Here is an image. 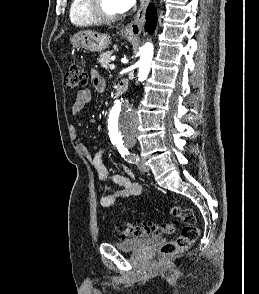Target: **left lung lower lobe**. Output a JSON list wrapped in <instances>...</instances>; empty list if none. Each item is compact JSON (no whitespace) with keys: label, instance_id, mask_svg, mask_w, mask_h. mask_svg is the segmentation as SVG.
<instances>
[{"label":"left lung lower lobe","instance_id":"0a47b994","mask_svg":"<svg viewBox=\"0 0 259 294\" xmlns=\"http://www.w3.org/2000/svg\"><path fill=\"white\" fill-rule=\"evenodd\" d=\"M155 7L153 5L148 7L147 13H146V24L145 29L147 32L151 33L153 32L155 26H156V11Z\"/></svg>","mask_w":259,"mask_h":294}]
</instances>
